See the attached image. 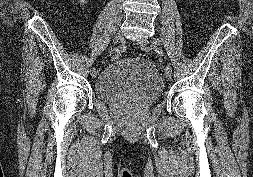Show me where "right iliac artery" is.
<instances>
[{
	"instance_id": "right-iliac-artery-1",
	"label": "right iliac artery",
	"mask_w": 253,
	"mask_h": 177,
	"mask_svg": "<svg viewBox=\"0 0 253 177\" xmlns=\"http://www.w3.org/2000/svg\"><path fill=\"white\" fill-rule=\"evenodd\" d=\"M125 46L122 44V45H119V46H116V47H113L110 49L111 52H122L125 50ZM98 63V60L97 59H94L93 60V63L91 64L90 66V69H91V72H94V70L97 69V66L96 64Z\"/></svg>"
}]
</instances>
